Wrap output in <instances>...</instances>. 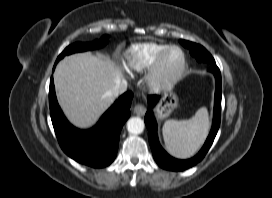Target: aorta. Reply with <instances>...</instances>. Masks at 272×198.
I'll use <instances>...</instances> for the list:
<instances>
[{"label": "aorta", "instance_id": "1", "mask_svg": "<svg viewBox=\"0 0 272 198\" xmlns=\"http://www.w3.org/2000/svg\"><path fill=\"white\" fill-rule=\"evenodd\" d=\"M145 127L144 121L139 117H132L127 122V130L131 134H140Z\"/></svg>", "mask_w": 272, "mask_h": 198}]
</instances>
